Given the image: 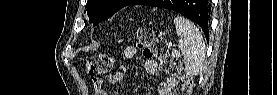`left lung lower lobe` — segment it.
<instances>
[{
	"label": "left lung lower lobe",
	"instance_id": "left-lung-lower-lobe-1",
	"mask_svg": "<svg viewBox=\"0 0 277 95\" xmlns=\"http://www.w3.org/2000/svg\"><path fill=\"white\" fill-rule=\"evenodd\" d=\"M161 0H135L131 5H148L157 7ZM167 9L181 13L195 21L203 30L207 40L209 38V3L208 0H177Z\"/></svg>",
	"mask_w": 277,
	"mask_h": 95
}]
</instances>
